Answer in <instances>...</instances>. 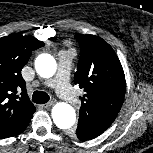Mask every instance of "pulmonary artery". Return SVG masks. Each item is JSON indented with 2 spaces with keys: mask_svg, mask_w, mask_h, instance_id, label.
Masks as SVG:
<instances>
[{
  "mask_svg": "<svg viewBox=\"0 0 153 153\" xmlns=\"http://www.w3.org/2000/svg\"><path fill=\"white\" fill-rule=\"evenodd\" d=\"M73 53L71 51H63L59 54L58 71L53 80L46 83L47 86L55 88L58 95L65 101L76 104L77 96L69 84V73Z\"/></svg>",
  "mask_w": 153,
  "mask_h": 153,
  "instance_id": "e3ab8cb5",
  "label": "pulmonary artery"
}]
</instances>
